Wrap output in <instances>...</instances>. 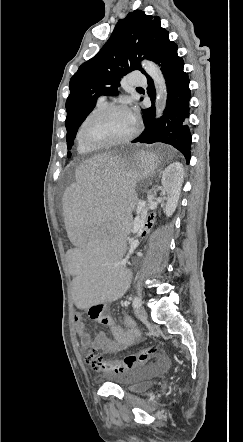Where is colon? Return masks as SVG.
Here are the masks:
<instances>
[{
	"label": "colon",
	"mask_w": 243,
	"mask_h": 442,
	"mask_svg": "<svg viewBox=\"0 0 243 442\" xmlns=\"http://www.w3.org/2000/svg\"><path fill=\"white\" fill-rule=\"evenodd\" d=\"M142 228L138 238L139 243L144 244L151 241L153 235L150 233V227L155 224L152 216H144L142 218ZM151 246V243H148ZM158 348L156 346H150L140 350L137 353H131L123 356L122 358H111L106 360L101 356L94 354L92 351L87 353V357H84V366H92L96 371L106 375H119L128 373L144 365H149L152 359L157 355Z\"/></svg>",
	"instance_id": "1"
}]
</instances>
